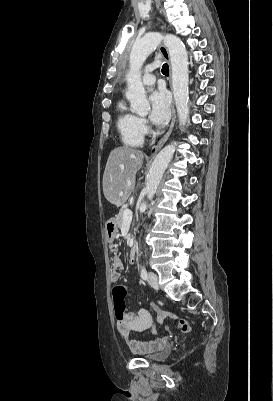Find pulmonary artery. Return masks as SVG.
Listing matches in <instances>:
<instances>
[{"label": "pulmonary artery", "mask_w": 273, "mask_h": 401, "mask_svg": "<svg viewBox=\"0 0 273 401\" xmlns=\"http://www.w3.org/2000/svg\"><path fill=\"white\" fill-rule=\"evenodd\" d=\"M145 69H146L144 71V74H145L144 80H145V82L146 83H154V82H156V80H157L156 75L151 74V71H150L152 69V66L150 64H147L145 66Z\"/></svg>", "instance_id": "e3ab8cb5"}]
</instances>
